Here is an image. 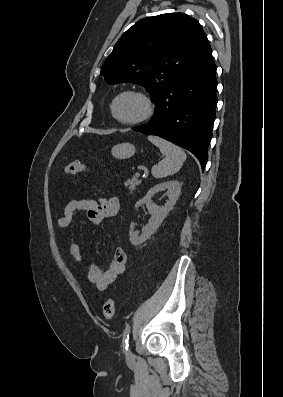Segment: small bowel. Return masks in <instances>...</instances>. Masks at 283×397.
I'll return each mask as SVG.
<instances>
[{
	"label": "small bowel",
	"mask_w": 283,
	"mask_h": 397,
	"mask_svg": "<svg viewBox=\"0 0 283 397\" xmlns=\"http://www.w3.org/2000/svg\"><path fill=\"white\" fill-rule=\"evenodd\" d=\"M120 201L116 197L103 198L99 201L86 196L71 199L64 208L63 215L57 218V225L61 228H68L70 235L69 253L77 261H82L81 248L75 238L72 229L74 216L79 211L87 212V219L95 225L101 224L106 218L112 217L119 212ZM127 262V254L123 247L117 246L114 249L113 258L106 270H102L97 264L91 263L87 270L88 280L100 291L106 290L116 278L123 274Z\"/></svg>",
	"instance_id": "obj_1"
}]
</instances>
